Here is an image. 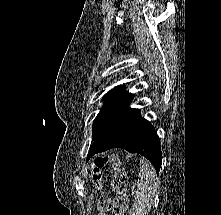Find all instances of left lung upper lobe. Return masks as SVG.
Returning <instances> with one entry per match:
<instances>
[{
    "instance_id": "1",
    "label": "left lung upper lobe",
    "mask_w": 221,
    "mask_h": 215,
    "mask_svg": "<svg viewBox=\"0 0 221 215\" xmlns=\"http://www.w3.org/2000/svg\"><path fill=\"white\" fill-rule=\"evenodd\" d=\"M132 99L133 95L125 93L124 86H117L107 93L105 103L94 120L92 140L129 109Z\"/></svg>"
}]
</instances>
